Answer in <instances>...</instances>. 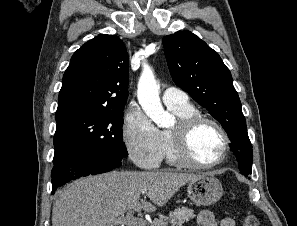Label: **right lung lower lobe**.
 <instances>
[{
  "mask_svg": "<svg viewBox=\"0 0 297 226\" xmlns=\"http://www.w3.org/2000/svg\"><path fill=\"white\" fill-rule=\"evenodd\" d=\"M122 156L93 148H69L55 151L52 169V194L65 183L89 174L111 171L121 166Z\"/></svg>",
  "mask_w": 297,
  "mask_h": 226,
  "instance_id": "right-lung-lower-lobe-1",
  "label": "right lung lower lobe"
}]
</instances>
